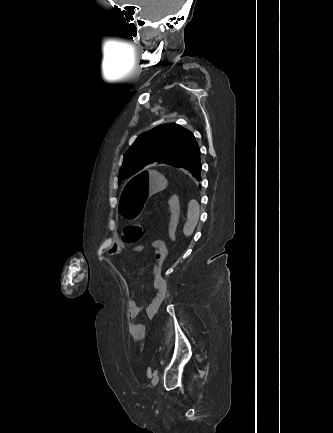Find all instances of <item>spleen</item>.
<instances>
[{
  "instance_id": "obj_1",
  "label": "spleen",
  "mask_w": 333,
  "mask_h": 433,
  "mask_svg": "<svg viewBox=\"0 0 333 433\" xmlns=\"http://www.w3.org/2000/svg\"><path fill=\"white\" fill-rule=\"evenodd\" d=\"M189 208L188 218L183 228V233L186 236H191L193 234L200 215L199 204L195 200L190 203Z\"/></svg>"
}]
</instances>
